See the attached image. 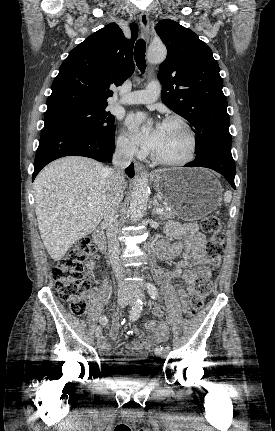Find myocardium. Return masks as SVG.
<instances>
[{"label": "myocardium", "mask_w": 275, "mask_h": 431, "mask_svg": "<svg viewBox=\"0 0 275 431\" xmlns=\"http://www.w3.org/2000/svg\"><path fill=\"white\" fill-rule=\"evenodd\" d=\"M172 122H176L178 124H180L184 130L186 131L188 138H189V150L187 155L179 160H165L161 157H159L155 152L152 153V160L161 166H165V167H179V166H184L189 164L190 162H192L196 156L197 153V137L196 134L193 130V128L191 127V125L188 123V121L186 119H184L183 117L179 116V115H172L167 117L164 120V123H172Z\"/></svg>", "instance_id": "myocardium-1"}]
</instances>
